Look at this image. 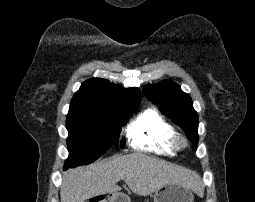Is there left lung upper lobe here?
<instances>
[{"label":"left lung upper lobe","mask_w":255,"mask_h":202,"mask_svg":"<svg viewBox=\"0 0 255 202\" xmlns=\"http://www.w3.org/2000/svg\"><path fill=\"white\" fill-rule=\"evenodd\" d=\"M143 93L153 103L160 105L159 109L174 123L182 127L188 138L193 142V148L198 144V114L193 109L191 97L182 92L180 86L170 80H163L155 85L143 88Z\"/></svg>","instance_id":"1"}]
</instances>
